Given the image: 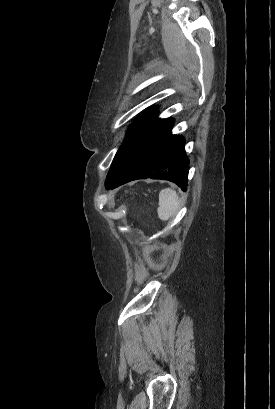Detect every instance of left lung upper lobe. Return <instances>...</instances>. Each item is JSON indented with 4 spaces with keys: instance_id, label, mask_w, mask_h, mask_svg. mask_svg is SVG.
Here are the masks:
<instances>
[{
    "instance_id": "obj_1",
    "label": "left lung upper lobe",
    "mask_w": 275,
    "mask_h": 409,
    "mask_svg": "<svg viewBox=\"0 0 275 409\" xmlns=\"http://www.w3.org/2000/svg\"><path fill=\"white\" fill-rule=\"evenodd\" d=\"M156 109L151 107L144 111L141 115L138 116L136 123L132 125L123 141L122 145L120 146L119 150L117 151L113 163L111 165L110 171L107 175V179L105 182L106 186L112 184V182L117 178L119 173L121 172L123 165L126 161V158L132 149V147L136 144V142L160 119L156 118L155 116Z\"/></svg>"
}]
</instances>
